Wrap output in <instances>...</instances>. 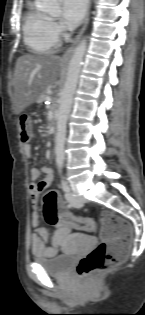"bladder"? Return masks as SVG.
Here are the masks:
<instances>
[{"instance_id":"obj_1","label":"bladder","mask_w":145,"mask_h":315,"mask_svg":"<svg viewBox=\"0 0 145 315\" xmlns=\"http://www.w3.org/2000/svg\"><path fill=\"white\" fill-rule=\"evenodd\" d=\"M75 249H92V248H75ZM76 256H65V253L58 254L50 259H36V262L42 265L45 270L52 276H65L74 266Z\"/></svg>"}]
</instances>
